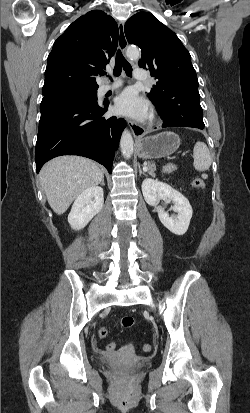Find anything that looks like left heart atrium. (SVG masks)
<instances>
[{
  "label": "left heart atrium",
  "instance_id": "obj_1",
  "mask_svg": "<svg viewBox=\"0 0 250 413\" xmlns=\"http://www.w3.org/2000/svg\"><path fill=\"white\" fill-rule=\"evenodd\" d=\"M117 112L142 119L148 116L149 109L147 102L132 89H126L115 102Z\"/></svg>",
  "mask_w": 250,
  "mask_h": 413
}]
</instances>
